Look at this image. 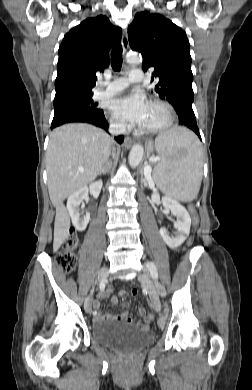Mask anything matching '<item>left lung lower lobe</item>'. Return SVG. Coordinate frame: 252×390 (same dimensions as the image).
I'll list each match as a JSON object with an SVG mask.
<instances>
[{"instance_id":"0a47b994","label":"left lung lower lobe","mask_w":252,"mask_h":390,"mask_svg":"<svg viewBox=\"0 0 252 390\" xmlns=\"http://www.w3.org/2000/svg\"><path fill=\"white\" fill-rule=\"evenodd\" d=\"M175 110L179 116V124L193 130L201 139L192 106L189 104H180Z\"/></svg>"}]
</instances>
